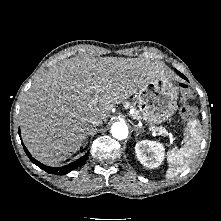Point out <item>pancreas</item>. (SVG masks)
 <instances>
[{"instance_id": "cf45deb5", "label": "pancreas", "mask_w": 221, "mask_h": 221, "mask_svg": "<svg viewBox=\"0 0 221 221\" xmlns=\"http://www.w3.org/2000/svg\"><path fill=\"white\" fill-rule=\"evenodd\" d=\"M132 117L133 118H138L139 115H138V112L135 111L133 114H132ZM153 129H155L156 131L158 130V132H160L162 135H166L167 134V131L164 127H153Z\"/></svg>"}]
</instances>
